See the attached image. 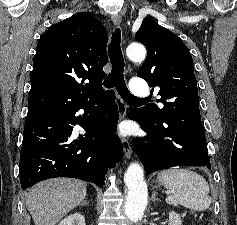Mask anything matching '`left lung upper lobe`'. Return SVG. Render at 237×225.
Returning a JSON list of instances; mask_svg holds the SVG:
<instances>
[{
  "mask_svg": "<svg viewBox=\"0 0 237 225\" xmlns=\"http://www.w3.org/2000/svg\"><path fill=\"white\" fill-rule=\"evenodd\" d=\"M136 40L145 45L147 58L137 76L150 87L159 88V108L148 104L141 108L150 121L158 122L189 107L198 106L197 81L193 60L186 45L174 33L151 19L143 20Z\"/></svg>",
  "mask_w": 237,
  "mask_h": 225,
  "instance_id": "1",
  "label": "left lung upper lobe"
}]
</instances>
